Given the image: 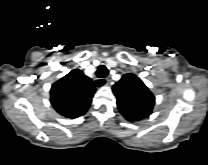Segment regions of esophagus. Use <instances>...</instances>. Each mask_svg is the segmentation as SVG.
Returning a JSON list of instances; mask_svg holds the SVG:
<instances>
[{
	"label": "esophagus",
	"instance_id": "obj_1",
	"mask_svg": "<svg viewBox=\"0 0 208 165\" xmlns=\"http://www.w3.org/2000/svg\"><path fill=\"white\" fill-rule=\"evenodd\" d=\"M109 81H110V80H109L108 78H106V79H104V83H102L101 80H96L95 83H96V85H97V82H98L99 85L102 86V85H108V84H109Z\"/></svg>",
	"mask_w": 208,
	"mask_h": 165
}]
</instances>
